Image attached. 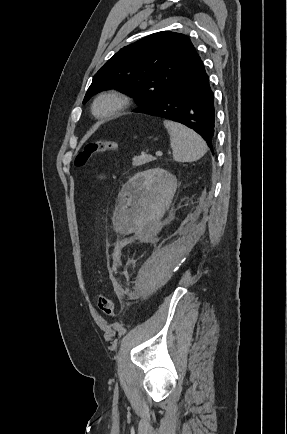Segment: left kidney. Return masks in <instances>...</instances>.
Wrapping results in <instances>:
<instances>
[{
    "label": "left kidney",
    "instance_id": "left-kidney-1",
    "mask_svg": "<svg viewBox=\"0 0 287 434\" xmlns=\"http://www.w3.org/2000/svg\"><path fill=\"white\" fill-rule=\"evenodd\" d=\"M174 175L161 168L137 173L125 185V210L135 219H145L157 208L165 210L176 192ZM133 206V212L128 209Z\"/></svg>",
    "mask_w": 287,
    "mask_h": 434
}]
</instances>
